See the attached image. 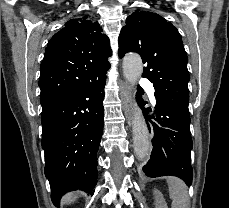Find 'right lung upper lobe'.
Returning <instances> with one entry per match:
<instances>
[{
    "label": "right lung upper lobe",
    "mask_w": 229,
    "mask_h": 208,
    "mask_svg": "<svg viewBox=\"0 0 229 208\" xmlns=\"http://www.w3.org/2000/svg\"><path fill=\"white\" fill-rule=\"evenodd\" d=\"M112 55L109 38L87 16L69 20L54 34L41 63L39 87L42 106L106 74Z\"/></svg>",
    "instance_id": "1"
}]
</instances>
